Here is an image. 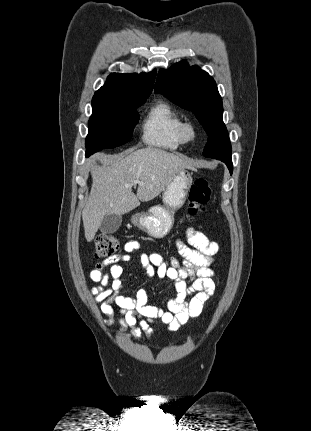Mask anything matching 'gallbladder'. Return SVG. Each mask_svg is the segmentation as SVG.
<instances>
[{
  "mask_svg": "<svg viewBox=\"0 0 311 431\" xmlns=\"http://www.w3.org/2000/svg\"><path fill=\"white\" fill-rule=\"evenodd\" d=\"M122 223V216H115V214H110V216H105L99 229L102 233H115L119 229Z\"/></svg>",
  "mask_w": 311,
  "mask_h": 431,
  "instance_id": "1",
  "label": "gallbladder"
}]
</instances>
